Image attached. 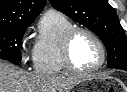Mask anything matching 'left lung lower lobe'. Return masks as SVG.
<instances>
[{
  "mask_svg": "<svg viewBox=\"0 0 127 92\" xmlns=\"http://www.w3.org/2000/svg\"><path fill=\"white\" fill-rule=\"evenodd\" d=\"M116 69H123V70H126L127 71V65L120 66V67H118Z\"/></svg>",
  "mask_w": 127,
  "mask_h": 92,
  "instance_id": "0a47b994",
  "label": "left lung lower lobe"
}]
</instances>
